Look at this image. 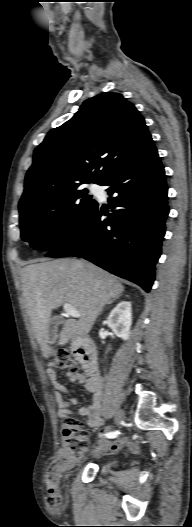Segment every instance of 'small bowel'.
Wrapping results in <instances>:
<instances>
[{
	"instance_id": "1",
	"label": "small bowel",
	"mask_w": 192,
	"mask_h": 527,
	"mask_svg": "<svg viewBox=\"0 0 192 527\" xmlns=\"http://www.w3.org/2000/svg\"><path fill=\"white\" fill-rule=\"evenodd\" d=\"M48 378L51 384L56 389L55 398L58 403V416L60 418L71 417V407L77 404L76 398L66 399L63 397V393L68 392V388L61 384L58 380L57 371L51 367L47 371ZM68 379L72 383L83 384L88 392L92 394V400L89 406L81 407L79 414L86 416L87 424L91 428H98L102 424V400L104 397V381L98 374H82V373H68ZM121 449H129L132 452H137L138 447L136 444L120 439L116 442L106 441L102 447V450L118 451Z\"/></svg>"
}]
</instances>
